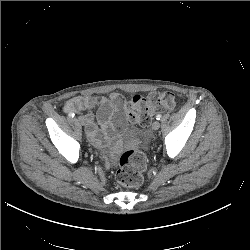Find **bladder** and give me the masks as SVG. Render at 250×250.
<instances>
[{"label":"bladder","mask_w":250,"mask_h":250,"mask_svg":"<svg viewBox=\"0 0 250 250\" xmlns=\"http://www.w3.org/2000/svg\"><path fill=\"white\" fill-rule=\"evenodd\" d=\"M121 119L119 121L121 122ZM139 132L137 129L127 126H122L120 128L119 134V146L117 149L116 156L123 150L134 148L138 146Z\"/></svg>","instance_id":"obj_1"}]
</instances>
